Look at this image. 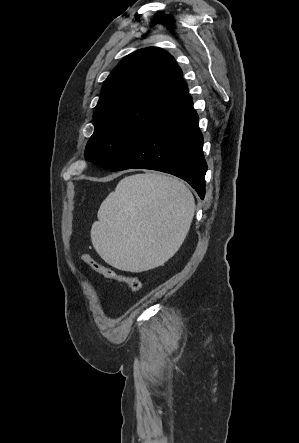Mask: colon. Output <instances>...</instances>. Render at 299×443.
Listing matches in <instances>:
<instances>
[{
	"label": "colon",
	"mask_w": 299,
	"mask_h": 443,
	"mask_svg": "<svg viewBox=\"0 0 299 443\" xmlns=\"http://www.w3.org/2000/svg\"><path fill=\"white\" fill-rule=\"evenodd\" d=\"M81 260L94 271L100 273L106 278L127 284L133 293H138L142 287L141 281L138 277L124 274L105 266L89 254H81Z\"/></svg>",
	"instance_id": "obj_1"
}]
</instances>
